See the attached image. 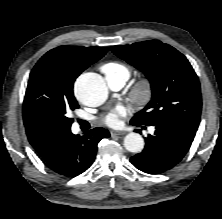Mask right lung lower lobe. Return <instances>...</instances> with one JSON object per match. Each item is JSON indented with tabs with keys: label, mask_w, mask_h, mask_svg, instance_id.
<instances>
[{
	"label": "right lung lower lobe",
	"mask_w": 222,
	"mask_h": 219,
	"mask_svg": "<svg viewBox=\"0 0 222 219\" xmlns=\"http://www.w3.org/2000/svg\"><path fill=\"white\" fill-rule=\"evenodd\" d=\"M109 136L110 133L101 127L89 130L83 137L74 135L69 130L48 157L44 158V162L60 175L75 177L92 165L98 142Z\"/></svg>",
	"instance_id": "right-lung-lower-lobe-1"
}]
</instances>
